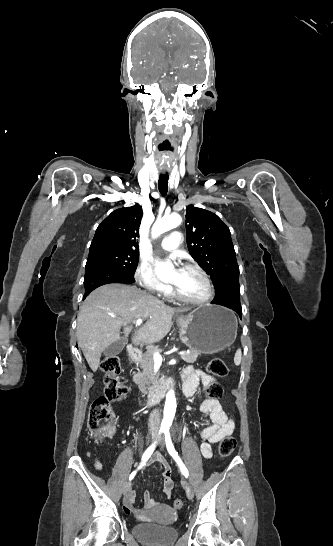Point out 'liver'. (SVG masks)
<instances>
[{
	"instance_id": "1",
	"label": "liver",
	"mask_w": 333,
	"mask_h": 546,
	"mask_svg": "<svg viewBox=\"0 0 333 546\" xmlns=\"http://www.w3.org/2000/svg\"><path fill=\"white\" fill-rule=\"evenodd\" d=\"M175 311L137 287L119 283L103 285L95 289L80 307L77 319L78 345L95 372L102 352L122 339L121 328L128 336L133 328L130 322L149 318L145 325L137 329L132 343L159 342L170 331Z\"/></svg>"
}]
</instances>
